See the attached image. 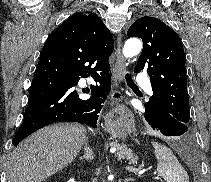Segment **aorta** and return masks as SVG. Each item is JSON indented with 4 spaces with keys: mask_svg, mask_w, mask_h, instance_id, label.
Returning a JSON list of instances; mask_svg holds the SVG:
<instances>
[{
    "mask_svg": "<svg viewBox=\"0 0 211 182\" xmlns=\"http://www.w3.org/2000/svg\"><path fill=\"white\" fill-rule=\"evenodd\" d=\"M142 49V42L137 38L128 39L123 47V55L126 58H132L136 56Z\"/></svg>",
    "mask_w": 211,
    "mask_h": 182,
    "instance_id": "obj_1",
    "label": "aorta"
}]
</instances>
